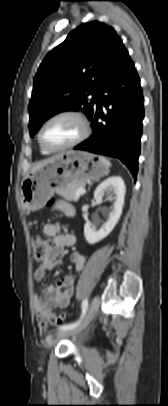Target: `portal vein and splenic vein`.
Returning <instances> with one entry per match:
<instances>
[{"label":"portal vein and splenic vein","instance_id":"portal-vein-and-splenic-vein-1","mask_svg":"<svg viewBox=\"0 0 168 406\" xmlns=\"http://www.w3.org/2000/svg\"><path fill=\"white\" fill-rule=\"evenodd\" d=\"M85 193V189L84 188H80L77 190L76 192V198H79L81 195H83Z\"/></svg>","mask_w":168,"mask_h":406}]
</instances>
